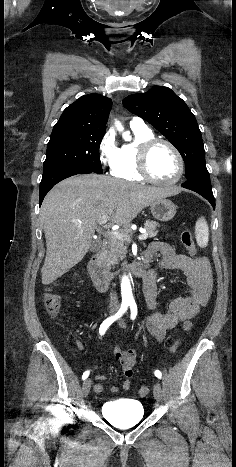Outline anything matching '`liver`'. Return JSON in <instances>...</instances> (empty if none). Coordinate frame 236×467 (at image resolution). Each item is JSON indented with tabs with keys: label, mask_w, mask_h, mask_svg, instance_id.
I'll return each mask as SVG.
<instances>
[{
	"label": "liver",
	"mask_w": 236,
	"mask_h": 467,
	"mask_svg": "<svg viewBox=\"0 0 236 467\" xmlns=\"http://www.w3.org/2000/svg\"><path fill=\"white\" fill-rule=\"evenodd\" d=\"M179 191L175 187L144 186L97 174L61 181L41 206L47 246L42 284H51L83 259L103 217L107 216L112 224L128 226L154 201Z\"/></svg>",
	"instance_id": "liver-1"
}]
</instances>
